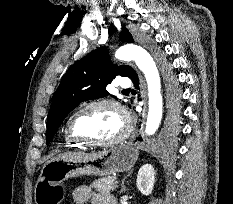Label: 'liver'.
<instances>
[{"instance_id":"6515ba94","label":"liver","mask_w":233,"mask_h":204,"mask_svg":"<svg viewBox=\"0 0 233 204\" xmlns=\"http://www.w3.org/2000/svg\"><path fill=\"white\" fill-rule=\"evenodd\" d=\"M75 154H77V153H71V152L70 153H63V154H60V155L52 158L50 161L55 160V159H59L61 157H68V156L75 155Z\"/></svg>"}]
</instances>
